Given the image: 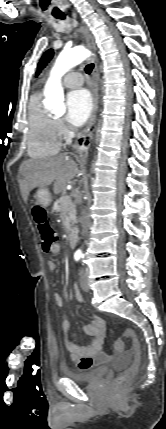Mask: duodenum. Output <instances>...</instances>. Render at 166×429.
<instances>
[{
	"label": "duodenum",
	"mask_w": 166,
	"mask_h": 429,
	"mask_svg": "<svg viewBox=\"0 0 166 429\" xmlns=\"http://www.w3.org/2000/svg\"><path fill=\"white\" fill-rule=\"evenodd\" d=\"M76 244V232L74 230H72L69 234H68V245L73 248L75 247Z\"/></svg>",
	"instance_id": "obj_1"
}]
</instances>
